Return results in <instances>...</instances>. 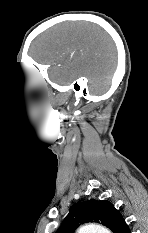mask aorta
I'll use <instances>...</instances> for the list:
<instances>
[{"label": "aorta", "mask_w": 148, "mask_h": 233, "mask_svg": "<svg viewBox=\"0 0 148 233\" xmlns=\"http://www.w3.org/2000/svg\"><path fill=\"white\" fill-rule=\"evenodd\" d=\"M77 233H110V231L102 225L95 223H88L81 226L77 230Z\"/></svg>", "instance_id": "aorta-1"}]
</instances>
